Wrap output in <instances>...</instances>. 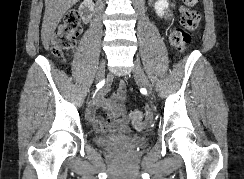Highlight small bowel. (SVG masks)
<instances>
[{"label":"small bowel","instance_id":"c3829d8e","mask_svg":"<svg viewBox=\"0 0 244 179\" xmlns=\"http://www.w3.org/2000/svg\"><path fill=\"white\" fill-rule=\"evenodd\" d=\"M127 85L125 82H120L118 89L108 99L100 97L98 107L106 112L105 119L95 116L93 110H90L89 115L96 127L104 132H125L130 122L129 116L124 113L125 110V94ZM133 116H142L141 114H133ZM144 121H153V116H144ZM141 130L144 126H134Z\"/></svg>","mask_w":244,"mask_h":179}]
</instances>
